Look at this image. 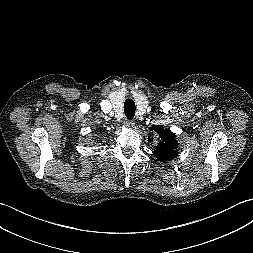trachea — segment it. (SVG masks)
Segmentation results:
<instances>
[{
    "mask_svg": "<svg viewBox=\"0 0 253 253\" xmlns=\"http://www.w3.org/2000/svg\"><path fill=\"white\" fill-rule=\"evenodd\" d=\"M135 110H136L135 102L130 98L126 99L124 102V112L127 119L129 120L133 119V117L135 116Z\"/></svg>",
    "mask_w": 253,
    "mask_h": 253,
    "instance_id": "obj_1",
    "label": "trachea"
}]
</instances>
